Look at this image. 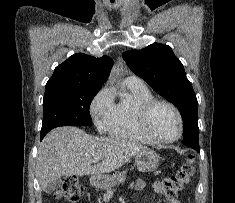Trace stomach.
<instances>
[{"instance_id":"1","label":"stomach","mask_w":235,"mask_h":203,"mask_svg":"<svg viewBox=\"0 0 235 203\" xmlns=\"http://www.w3.org/2000/svg\"><path fill=\"white\" fill-rule=\"evenodd\" d=\"M135 164L142 172H151L157 169L159 165V155L151 150L144 149L135 155ZM124 172H116L113 175H93L90 178L92 186L100 189H108L125 181Z\"/></svg>"}]
</instances>
